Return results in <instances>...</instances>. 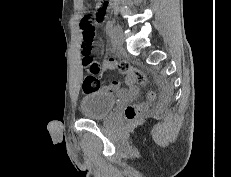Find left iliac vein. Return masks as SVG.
Returning a JSON list of instances; mask_svg holds the SVG:
<instances>
[{"label": "left iliac vein", "mask_w": 231, "mask_h": 177, "mask_svg": "<svg viewBox=\"0 0 231 177\" xmlns=\"http://www.w3.org/2000/svg\"><path fill=\"white\" fill-rule=\"evenodd\" d=\"M112 43L117 48L123 45V30L119 25H115L113 28Z\"/></svg>", "instance_id": "left-iliac-vein-1"}]
</instances>
